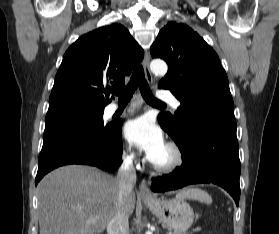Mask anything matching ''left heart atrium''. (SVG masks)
Wrapping results in <instances>:
<instances>
[{"label": "left heart atrium", "instance_id": "left-heart-atrium-1", "mask_svg": "<svg viewBox=\"0 0 279 234\" xmlns=\"http://www.w3.org/2000/svg\"><path fill=\"white\" fill-rule=\"evenodd\" d=\"M124 134L131 144L145 151L150 161L166 148L161 129L149 116L129 120L124 127Z\"/></svg>", "mask_w": 279, "mask_h": 234}]
</instances>
